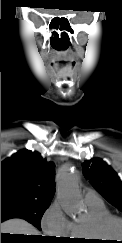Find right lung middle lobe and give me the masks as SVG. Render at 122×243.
Wrapping results in <instances>:
<instances>
[{"label": "right lung middle lobe", "instance_id": "right-lung-middle-lobe-1", "mask_svg": "<svg viewBox=\"0 0 122 243\" xmlns=\"http://www.w3.org/2000/svg\"><path fill=\"white\" fill-rule=\"evenodd\" d=\"M49 205L50 201L4 195L1 196V215L23 218L41 230L40 221Z\"/></svg>", "mask_w": 122, "mask_h": 243}]
</instances>
